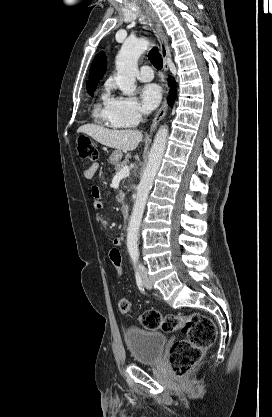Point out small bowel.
<instances>
[{
	"mask_svg": "<svg viewBox=\"0 0 272 417\" xmlns=\"http://www.w3.org/2000/svg\"><path fill=\"white\" fill-rule=\"evenodd\" d=\"M98 169H99V163L98 162L92 163L90 166H88L83 171L84 178L85 179H92L94 177V175L96 174ZM91 197H92L94 208L95 209H100L102 207V198H101V193H100V189H99L98 186L93 185L91 187ZM121 243H122L121 238L117 237V238L113 239L112 246L120 247Z\"/></svg>",
	"mask_w": 272,
	"mask_h": 417,
	"instance_id": "obj_1",
	"label": "small bowel"
}]
</instances>
